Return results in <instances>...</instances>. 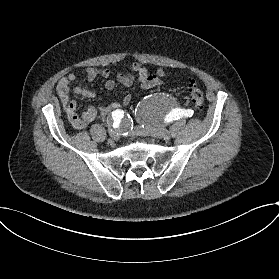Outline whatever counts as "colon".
I'll list each match as a JSON object with an SVG mask.
<instances>
[{
	"label": "colon",
	"instance_id": "1",
	"mask_svg": "<svg viewBox=\"0 0 279 279\" xmlns=\"http://www.w3.org/2000/svg\"><path fill=\"white\" fill-rule=\"evenodd\" d=\"M187 88L194 106L198 110H201L203 108L204 103L203 91L195 81H189L187 84Z\"/></svg>",
	"mask_w": 279,
	"mask_h": 279
}]
</instances>
